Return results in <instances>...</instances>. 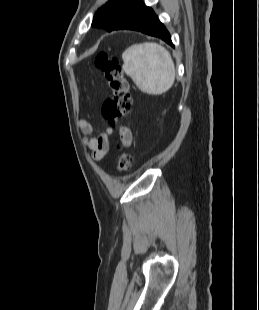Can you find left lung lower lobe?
<instances>
[{"label": "left lung lower lobe", "instance_id": "obj_1", "mask_svg": "<svg viewBox=\"0 0 259 310\" xmlns=\"http://www.w3.org/2000/svg\"><path fill=\"white\" fill-rule=\"evenodd\" d=\"M135 30L158 37L173 46L170 34L160 22L154 11L145 5L131 10L114 30Z\"/></svg>", "mask_w": 259, "mask_h": 310}]
</instances>
